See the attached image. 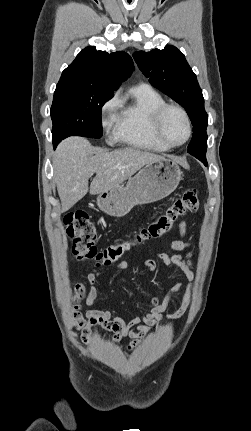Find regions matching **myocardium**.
<instances>
[{"instance_id":"obj_1","label":"myocardium","mask_w":251,"mask_h":431,"mask_svg":"<svg viewBox=\"0 0 251 431\" xmlns=\"http://www.w3.org/2000/svg\"><path fill=\"white\" fill-rule=\"evenodd\" d=\"M169 109H175L177 111H179L182 116L184 117V120L186 122V126H187V135L185 137V139L180 142V143H173L171 141H169L163 131H162V121H163V117L165 115V113L169 110ZM151 126H152V131L154 133V135L156 136V138L163 143L164 145L170 147V148H174V147H179L184 145L191 137L192 134V124H191V120L190 117L187 113V111L180 105L175 104V103H163L160 106H158L156 108V110L153 112L152 115V120H151Z\"/></svg>"}]
</instances>
